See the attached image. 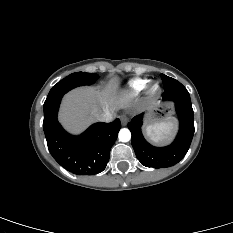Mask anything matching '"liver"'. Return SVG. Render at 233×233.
Segmentation results:
<instances>
[{
  "label": "liver",
  "instance_id": "obj_1",
  "mask_svg": "<svg viewBox=\"0 0 233 233\" xmlns=\"http://www.w3.org/2000/svg\"><path fill=\"white\" fill-rule=\"evenodd\" d=\"M131 96L118 92V80L112 79L102 90L80 87L63 99L59 121L73 134H79L97 120L100 113L109 111L113 116L118 109L129 106Z\"/></svg>",
  "mask_w": 233,
  "mask_h": 233
}]
</instances>
